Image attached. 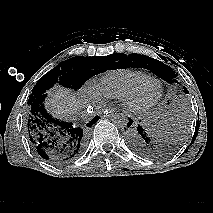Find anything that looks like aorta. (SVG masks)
<instances>
[{
    "mask_svg": "<svg viewBox=\"0 0 213 213\" xmlns=\"http://www.w3.org/2000/svg\"><path fill=\"white\" fill-rule=\"evenodd\" d=\"M112 121L118 128H121V129H124L128 124V118L123 113L115 114L113 116Z\"/></svg>",
    "mask_w": 213,
    "mask_h": 213,
    "instance_id": "762f6f07",
    "label": "aorta"
}]
</instances>
